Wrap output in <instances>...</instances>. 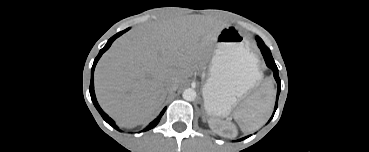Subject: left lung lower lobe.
I'll list each match as a JSON object with an SVG mask.
<instances>
[{
  "mask_svg": "<svg viewBox=\"0 0 369 152\" xmlns=\"http://www.w3.org/2000/svg\"><path fill=\"white\" fill-rule=\"evenodd\" d=\"M256 40H257L259 48L261 49V52L263 54V57L265 59V62L267 64V66L273 70L274 77H275V79L278 83V91H277V99H276L278 101L279 93H280V90H281V81H280L279 76H278V68H277V66H276V64L273 60V57L271 55V52H270L269 48L264 44L262 39L260 37H256ZM276 109H277V102H276V105H275V110Z\"/></svg>",
  "mask_w": 369,
  "mask_h": 152,
  "instance_id": "obj_1",
  "label": "left lung lower lobe"
}]
</instances>
